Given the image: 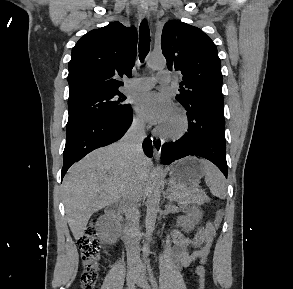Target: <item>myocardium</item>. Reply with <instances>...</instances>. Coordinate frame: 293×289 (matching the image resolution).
<instances>
[{"instance_id":"obj_1","label":"myocardium","mask_w":293,"mask_h":289,"mask_svg":"<svg viewBox=\"0 0 293 289\" xmlns=\"http://www.w3.org/2000/svg\"><path fill=\"white\" fill-rule=\"evenodd\" d=\"M173 113L179 118V126L174 130H166L162 126L158 127L156 134L162 139L176 141L183 138L189 130V118L186 110L182 107H176Z\"/></svg>"}]
</instances>
